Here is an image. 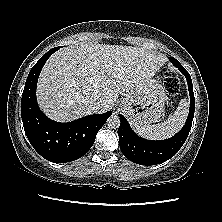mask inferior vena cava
<instances>
[{"label":"inferior vena cava","instance_id":"602c4592","mask_svg":"<svg viewBox=\"0 0 222 222\" xmlns=\"http://www.w3.org/2000/svg\"><path fill=\"white\" fill-rule=\"evenodd\" d=\"M85 106L87 109H89L91 112L96 113L98 109L100 108V102L98 99L93 98L85 102Z\"/></svg>","mask_w":222,"mask_h":222}]
</instances>
